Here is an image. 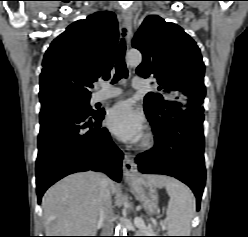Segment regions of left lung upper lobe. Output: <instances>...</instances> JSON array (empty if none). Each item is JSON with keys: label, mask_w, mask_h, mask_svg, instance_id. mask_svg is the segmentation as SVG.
I'll return each instance as SVG.
<instances>
[{"label": "left lung upper lobe", "mask_w": 248, "mask_h": 237, "mask_svg": "<svg viewBox=\"0 0 248 237\" xmlns=\"http://www.w3.org/2000/svg\"><path fill=\"white\" fill-rule=\"evenodd\" d=\"M132 45L143 55L137 74L154 75L164 94L149 92L144 98V111L154 130H161L180 113L204 111L205 65L195 41L180 26L148 16Z\"/></svg>", "instance_id": "left-lung-upper-lobe-1"}]
</instances>
